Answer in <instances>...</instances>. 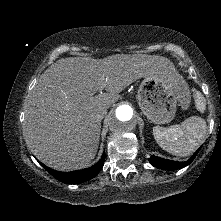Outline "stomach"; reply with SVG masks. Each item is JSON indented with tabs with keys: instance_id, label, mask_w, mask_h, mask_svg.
Here are the masks:
<instances>
[{
	"instance_id": "1",
	"label": "stomach",
	"mask_w": 221,
	"mask_h": 221,
	"mask_svg": "<svg viewBox=\"0 0 221 221\" xmlns=\"http://www.w3.org/2000/svg\"><path fill=\"white\" fill-rule=\"evenodd\" d=\"M137 100L150 122L166 124L174 119L177 106L188 107L190 92L183 78L174 71L145 77L139 86Z\"/></svg>"
}]
</instances>
